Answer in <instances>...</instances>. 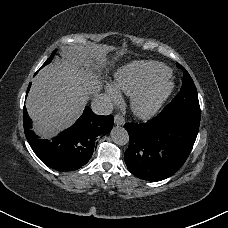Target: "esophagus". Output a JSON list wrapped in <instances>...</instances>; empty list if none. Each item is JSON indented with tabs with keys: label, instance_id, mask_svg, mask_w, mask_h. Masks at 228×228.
<instances>
[{
	"label": "esophagus",
	"instance_id": "34e87169",
	"mask_svg": "<svg viewBox=\"0 0 228 228\" xmlns=\"http://www.w3.org/2000/svg\"><path fill=\"white\" fill-rule=\"evenodd\" d=\"M114 122H115L116 125H124L125 120H124V117L121 114H116Z\"/></svg>",
	"mask_w": 228,
	"mask_h": 228
}]
</instances>
